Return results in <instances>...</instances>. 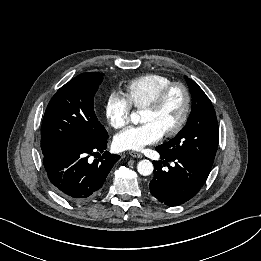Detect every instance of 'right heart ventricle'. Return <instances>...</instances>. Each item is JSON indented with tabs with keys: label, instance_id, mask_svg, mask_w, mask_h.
<instances>
[{
	"label": "right heart ventricle",
	"instance_id": "obj_1",
	"mask_svg": "<svg viewBox=\"0 0 261 261\" xmlns=\"http://www.w3.org/2000/svg\"><path fill=\"white\" fill-rule=\"evenodd\" d=\"M172 80L159 74H146L131 80L125 87V96L132 106L142 109L151 104Z\"/></svg>",
	"mask_w": 261,
	"mask_h": 261
}]
</instances>
